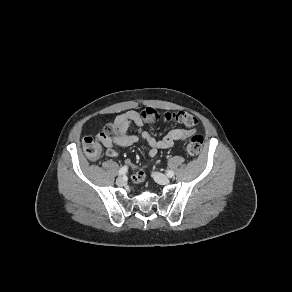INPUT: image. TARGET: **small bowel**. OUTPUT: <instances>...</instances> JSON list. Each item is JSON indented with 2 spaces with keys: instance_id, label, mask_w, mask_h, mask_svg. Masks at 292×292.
Wrapping results in <instances>:
<instances>
[{
  "instance_id": "small-bowel-1",
  "label": "small bowel",
  "mask_w": 292,
  "mask_h": 292,
  "mask_svg": "<svg viewBox=\"0 0 292 292\" xmlns=\"http://www.w3.org/2000/svg\"><path fill=\"white\" fill-rule=\"evenodd\" d=\"M144 123L145 121L138 111L131 110L118 115L113 122V125L117 129V133L111 136L101 137V143L106 147V155L108 157H117L119 152L116 147H126L139 141V136L128 134L127 130L131 125L139 129L140 137L149 147L148 155L151 158L156 157L159 150L167 149L174 146L176 143L183 142L195 132L194 126H187L181 123L186 127L172 129L161 139H156L147 131L143 130ZM145 177L146 175L142 170H137L132 174V180L135 183H142Z\"/></svg>"
}]
</instances>
